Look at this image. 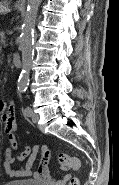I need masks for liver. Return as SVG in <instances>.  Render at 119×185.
Listing matches in <instances>:
<instances>
[{
    "instance_id": "liver-1",
    "label": "liver",
    "mask_w": 119,
    "mask_h": 185,
    "mask_svg": "<svg viewBox=\"0 0 119 185\" xmlns=\"http://www.w3.org/2000/svg\"><path fill=\"white\" fill-rule=\"evenodd\" d=\"M9 11L10 9L7 6L0 3V13H8Z\"/></svg>"
}]
</instances>
